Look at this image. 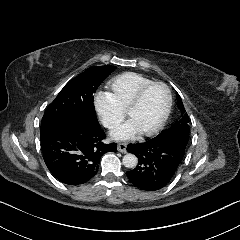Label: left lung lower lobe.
<instances>
[{
	"instance_id": "obj_1",
	"label": "left lung lower lobe",
	"mask_w": 240,
	"mask_h": 240,
	"mask_svg": "<svg viewBox=\"0 0 240 240\" xmlns=\"http://www.w3.org/2000/svg\"><path fill=\"white\" fill-rule=\"evenodd\" d=\"M187 139L177 136H158L144 143L129 144L127 151L138 158L135 169L126 172L130 182L145 191L165 187L180 165Z\"/></svg>"
}]
</instances>
